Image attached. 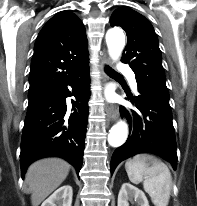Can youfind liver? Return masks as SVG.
Returning a JSON list of instances; mask_svg holds the SVG:
<instances>
[{"label": "liver", "mask_w": 197, "mask_h": 206, "mask_svg": "<svg viewBox=\"0 0 197 206\" xmlns=\"http://www.w3.org/2000/svg\"><path fill=\"white\" fill-rule=\"evenodd\" d=\"M70 165L59 158L41 159L31 164L25 175V183L31 193V203L38 206L69 173Z\"/></svg>", "instance_id": "liver-1"}]
</instances>
